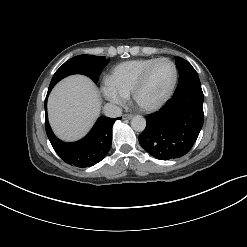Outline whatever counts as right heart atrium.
Segmentation results:
<instances>
[{"instance_id": "d8ad5b80", "label": "right heart atrium", "mask_w": 247, "mask_h": 247, "mask_svg": "<svg viewBox=\"0 0 247 247\" xmlns=\"http://www.w3.org/2000/svg\"><path fill=\"white\" fill-rule=\"evenodd\" d=\"M105 97L114 103H122L126 95L112 86L107 80L104 82L102 87Z\"/></svg>"}]
</instances>
